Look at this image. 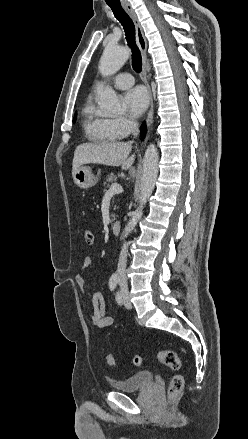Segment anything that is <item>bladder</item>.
Here are the masks:
<instances>
[{"label": "bladder", "mask_w": 248, "mask_h": 439, "mask_svg": "<svg viewBox=\"0 0 248 439\" xmlns=\"http://www.w3.org/2000/svg\"><path fill=\"white\" fill-rule=\"evenodd\" d=\"M110 384L116 391L135 392L151 386L153 384V376L150 371H140L123 379L112 380Z\"/></svg>", "instance_id": "1"}]
</instances>
